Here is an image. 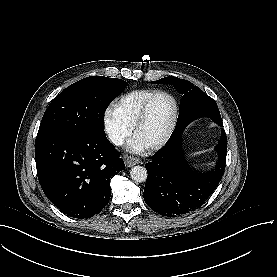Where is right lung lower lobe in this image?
I'll return each mask as SVG.
<instances>
[{
    "label": "right lung lower lobe",
    "instance_id": "obj_1",
    "mask_svg": "<svg viewBox=\"0 0 277 277\" xmlns=\"http://www.w3.org/2000/svg\"><path fill=\"white\" fill-rule=\"evenodd\" d=\"M35 160L47 198L74 218L98 214L110 199L112 176L124 169L104 131L37 137Z\"/></svg>",
    "mask_w": 277,
    "mask_h": 277
}]
</instances>
